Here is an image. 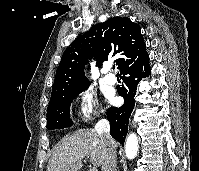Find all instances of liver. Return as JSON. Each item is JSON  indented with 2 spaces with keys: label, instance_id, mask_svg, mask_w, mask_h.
Listing matches in <instances>:
<instances>
[{
  "label": "liver",
  "instance_id": "liver-1",
  "mask_svg": "<svg viewBox=\"0 0 199 171\" xmlns=\"http://www.w3.org/2000/svg\"><path fill=\"white\" fill-rule=\"evenodd\" d=\"M106 155L107 146L96 130L79 129L55 146L47 171H78L83 166V158L89 156L93 166H103Z\"/></svg>",
  "mask_w": 199,
  "mask_h": 171
}]
</instances>
